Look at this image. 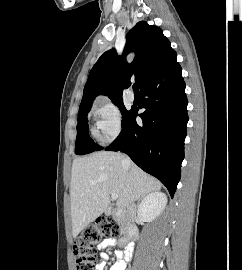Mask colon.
<instances>
[{
	"instance_id": "obj_1",
	"label": "colon",
	"mask_w": 242,
	"mask_h": 270,
	"mask_svg": "<svg viewBox=\"0 0 242 270\" xmlns=\"http://www.w3.org/2000/svg\"><path fill=\"white\" fill-rule=\"evenodd\" d=\"M121 234L119 224L110 218H103L84 229L73 242L76 270L95 269V247L105 238H116Z\"/></svg>"
}]
</instances>
